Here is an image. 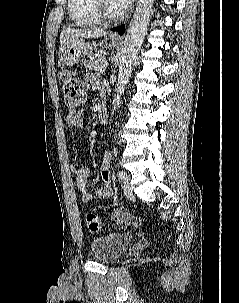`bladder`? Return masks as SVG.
Instances as JSON below:
<instances>
[{
  "instance_id": "bladder-1",
  "label": "bladder",
  "mask_w": 239,
  "mask_h": 303,
  "mask_svg": "<svg viewBox=\"0 0 239 303\" xmlns=\"http://www.w3.org/2000/svg\"><path fill=\"white\" fill-rule=\"evenodd\" d=\"M132 238L133 235L130 233H112L95 237L90 242V256L98 262H114L123 255Z\"/></svg>"
}]
</instances>
